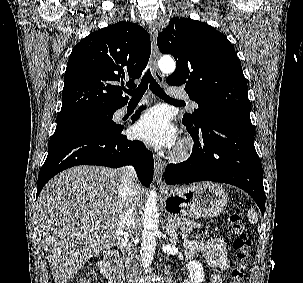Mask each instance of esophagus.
<instances>
[{
    "mask_svg": "<svg viewBox=\"0 0 303 283\" xmlns=\"http://www.w3.org/2000/svg\"><path fill=\"white\" fill-rule=\"evenodd\" d=\"M149 29H150V35L152 40L151 70L156 80L162 83L163 76L159 72L157 67V61L159 58V50L157 46L158 29L155 24H151ZM164 169H165V162L160 157L154 156V172L157 182H161Z\"/></svg>",
    "mask_w": 303,
    "mask_h": 283,
    "instance_id": "esophagus-1",
    "label": "esophagus"
}]
</instances>
